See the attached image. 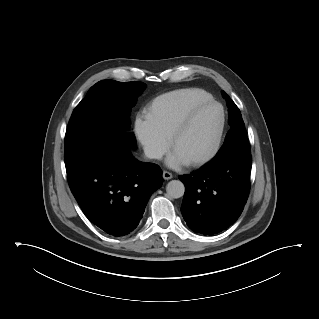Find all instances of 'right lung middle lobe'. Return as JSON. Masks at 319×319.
<instances>
[{
    "label": "right lung middle lobe",
    "mask_w": 319,
    "mask_h": 319,
    "mask_svg": "<svg viewBox=\"0 0 319 319\" xmlns=\"http://www.w3.org/2000/svg\"><path fill=\"white\" fill-rule=\"evenodd\" d=\"M142 82L102 80L76 106L65 134V166L70 172L96 144L119 137L125 115L145 89ZM126 141L135 145L134 135Z\"/></svg>",
    "instance_id": "obj_1"
}]
</instances>
